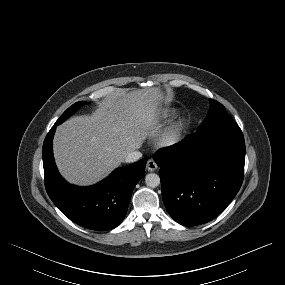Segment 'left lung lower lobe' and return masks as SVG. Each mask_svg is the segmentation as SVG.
Wrapping results in <instances>:
<instances>
[{
  "label": "left lung lower lobe",
  "instance_id": "obj_1",
  "mask_svg": "<svg viewBox=\"0 0 285 285\" xmlns=\"http://www.w3.org/2000/svg\"><path fill=\"white\" fill-rule=\"evenodd\" d=\"M161 168L162 198L170 216L185 226L209 222L238 193L244 174L242 132L190 134L154 155Z\"/></svg>",
  "mask_w": 285,
  "mask_h": 285
}]
</instances>
